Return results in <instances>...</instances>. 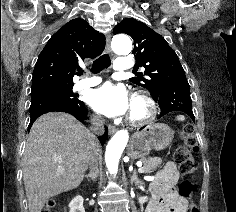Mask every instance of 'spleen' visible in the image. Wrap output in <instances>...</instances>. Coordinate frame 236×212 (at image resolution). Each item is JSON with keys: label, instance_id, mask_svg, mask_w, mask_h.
<instances>
[{"label": "spleen", "instance_id": "spleen-1", "mask_svg": "<svg viewBox=\"0 0 236 212\" xmlns=\"http://www.w3.org/2000/svg\"><path fill=\"white\" fill-rule=\"evenodd\" d=\"M177 120L178 121H184L185 117L183 115H179V116H177Z\"/></svg>", "mask_w": 236, "mask_h": 212}]
</instances>
